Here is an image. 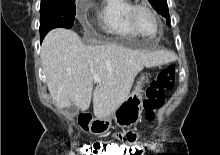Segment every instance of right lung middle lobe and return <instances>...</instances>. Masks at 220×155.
I'll return each mask as SVG.
<instances>
[{
    "instance_id": "dd1d6c3e",
    "label": "right lung middle lobe",
    "mask_w": 220,
    "mask_h": 155,
    "mask_svg": "<svg viewBox=\"0 0 220 155\" xmlns=\"http://www.w3.org/2000/svg\"><path fill=\"white\" fill-rule=\"evenodd\" d=\"M75 18V0H41L40 38L53 28H71Z\"/></svg>"
}]
</instances>
